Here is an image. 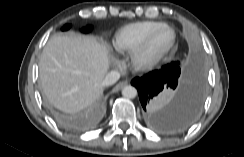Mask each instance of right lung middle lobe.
<instances>
[{
    "label": "right lung middle lobe",
    "mask_w": 244,
    "mask_h": 157,
    "mask_svg": "<svg viewBox=\"0 0 244 157\" xmlns=\"http://www.w3.org/2000/svg\"><path fill=\"white\" fill-rule=\"evenodd\" d=\"M69 28H70V25H65V26L62 28V30H67V29H69ZM83 31H84V32H87V31H89V28H84Z\"/></svg>",
    "instance_id": "obj_1"
}]
</instances>
